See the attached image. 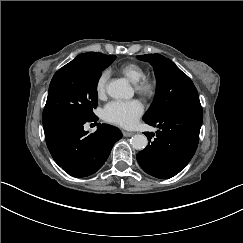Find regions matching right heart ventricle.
<instances>
[{"label":"right heart ventricle","mask_w":243,"mask_h":243,"mask_svg":"<svg viewBox=\"0 0 243 243\" xmlns=\"http://www.w3.org/2000/svg\"><path fill=\"white\" fill-rule=\"evenodd\" d=\"M119 73L124 75L132 83L136 84L146 73L142 64L129 61L119 67Z\"/></svg>","instance_id":"e07e8e85"}]
</instances>
